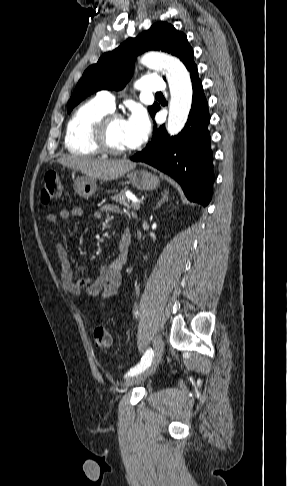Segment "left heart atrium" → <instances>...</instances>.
<instances>
[{"label":"left heart atrium","mask_w":287,"mask_h":486,"mask_svg":"<svg viewBox=\"0 0 287 486\" xmlns=\"http://www.w3.org/2000/svg\"><path fill=\"white\" fill-rule=\"evenodd\" d=\"M125 130L129 147L140 145L149 132V122L142 112H134L125 120Z\"/></svg>","instance_id":"obj_1"}]
</instances>
